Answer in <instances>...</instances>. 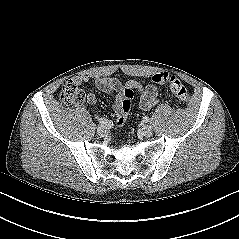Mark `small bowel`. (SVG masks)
<instances>
[{"instance_id": "c3829d8e", "label": "small bowel", "mask_w": 239, "mask_h": 239, "mask_svg": "<svg viewBox=\"0 0 239 239\" xmlns=\"http://www.w3.org/2000/svg\"><path fill=\"white\" fill-rule=\"evenodd\" d=\"M74 81L80 85L89 82L88 76H77ZM95 88L105 94L113 95L115 101L113 103L114 112L118 113L120 110V103L123 96L124 88L135 89L139 92V106L144 110L151 109L158 101V90L154 85H148L143 87L137 81H128L123 85L116 78H97L94 81ZM97 97L95 94L91 93L87 96V102L91 105L95 104Z\"/></svg>"}]
</instances>
